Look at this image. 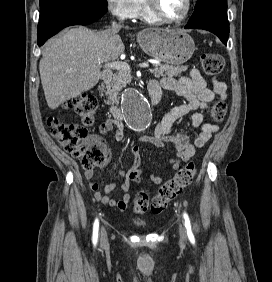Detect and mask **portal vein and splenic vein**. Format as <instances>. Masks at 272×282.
I'll return each mask as SVG.
<instances>
[{
  "instance_id": "1",
  "label": "portal vein and splenic vein",
  "mask_w": 272,
  "mask_h": 282,
  "mask_svg": "<svg viewBox=\"0 0 272 282\" xmlns=\"http://www.w3.org/2000/svg\"><path fill=\"white\" fill-rule=\"evenodd\" d=\"M105 68H110V69H116V70H127L130 71V66L126 62H119V61H114V62H109L104 65ZM138 67L140 68H148L149 64L148 63H140L138 64Z\"/></svg>"
}]
</instances>
